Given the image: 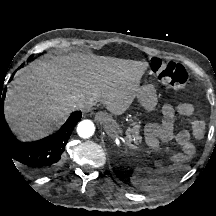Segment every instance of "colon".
<instances>
[{"instance_id":"obj_1","label":"colon","mask_w":216,"mask_h":216,"mask_svg":"<svg viewBox=\"0 0 216 216\" xmlns=\"http://www.w3.org/2000/svg\"><path fill=\"white\" fill-rule=\"evenodd\" d=\"M150 70L160 81L172 89L185 90L189 75L184 66L154 58L150 62Z\"/></svg>"}]
</instances>
